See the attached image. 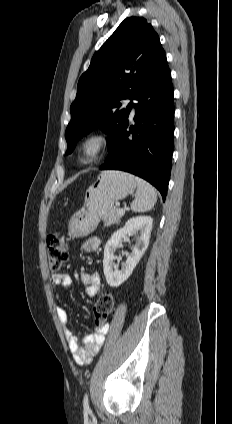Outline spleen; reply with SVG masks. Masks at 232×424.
Segmentation results:
<instances>
[{
    "label": "spleen",
    "mask_w": 232,
    "mask_h": 424,
    "mask_svg": "<svg viewBox=\"0 0 232 424\" xmlns=\"http://www.w3.org/2000/svg\"><path fill=\"white\" fill-rule=\"evenodd\" d=\"M135 181L137 191L135 199L131 203L132 211L142 213L151 210L157 201L154 187L139 177H135Z\"/></svg>",
    "instance_id": "1"
}]
</instances>
